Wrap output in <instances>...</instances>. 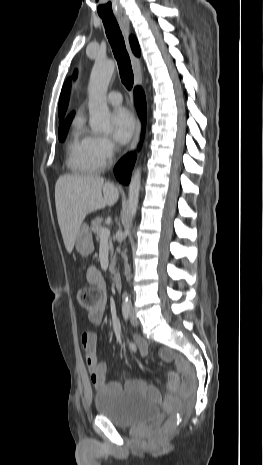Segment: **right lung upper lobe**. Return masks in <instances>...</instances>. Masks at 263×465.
<instances>
[{
    "mask_svg": "<svg viewBox=\"0 0 263 465\" xmlns=\"http://www.w3.org/2000/svg\"><path fill=\"white\" fill-rule=\"evenodd\" d=\"M130 44L132 51L134 52L135 55L139 56L140 55V48L138 41L134 36H130L129 38ZM69 93H70V79H68L65 84L63 85L61 94H60V99H59V107H58V114H59V121H64V115L68 106V101H69ZM74 116V112H72L68 117L65 119H69Z\"/></svg>",
    "mask_w": 263,
    "mask_h": 465,
    "instance_id": "obj_1",
    "label": "right lung upper lobe"
}]
</instances>
